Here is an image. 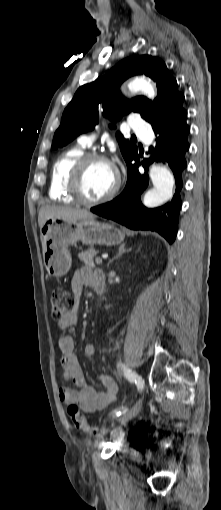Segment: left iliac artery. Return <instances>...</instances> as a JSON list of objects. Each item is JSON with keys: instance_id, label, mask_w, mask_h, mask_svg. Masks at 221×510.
<instances>
[{"instance_id": "1", "label": "left iliac artery", "mask_w": 221, "mask_h": 510, "mask_svg": "<svg viewBox=\"0 0 221 510\" xmlns=\"http://www.w3.org/2000/svg\"><path fill=\"white\" fill-rule=\"evenodd\" d=\"M120 365L122 366L123 371H124V375L128 379V381L135 382V384L137 385L138 390L141 391L143 389V386H144L143 379L137 373L132 371L131 369L126 368L124 366V364L120 363ZM126 410L127 409L125 407H122V408H119V409H115L113 411V414H115L116 416H120V415L124 414L126 412Z\"/></svg>"}]
</instances>
